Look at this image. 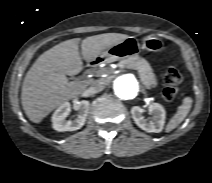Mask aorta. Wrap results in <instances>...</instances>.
Wrapping results in <instances>:
<instances>
[{
    "instance_id": "obj_1",
    "label": "aorta",
    "mask_w": 212,
    "mask_h": 183,
    "mask_svg": "<svg viewBox=\"0 0 212 183\" xmlns=\"http://www.w3.org/2000/svg\"><path fill=\"white\" fill-rule=\"evenodd\" d=\"M114 92L121 100L133 99L139 92V82L133 75H121L114 81Z\"/></svg>"
}]
</instances>
